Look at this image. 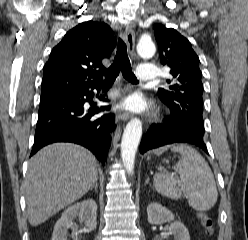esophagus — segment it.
<instances>
[{
	"instance_id": "esophagus-1",
	"label": "esophagus",
	"mask_w": 248,
	"mask_h": 240,
	"mask_svg": "<svg viewBox=\"0 0 248 240\" xmlns=\"http://www.w3.org/2000/svg\"><path fill=\"white\" fill-rule=\"evenodd\" d=\"M123 37L128 45L129 53L132 54L135 50V34L131 26H126ZM130 118L128 112L118 111L116 113V119L119 121H126Z\"/></svg>"
}]
</instances>
